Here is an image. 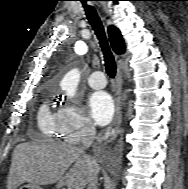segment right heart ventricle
<instances>
[{
    "label": "right heart ventricle",
    "instance_id": "1",
    "mask_svg": "<svg viewBox=\"0 0 188 189\" xmlns=\"http://www.w3.org/2000/svg\"><path fill=\"white\" fill-rule=\"evenodd\" d=\"M37 123L40 132L45 138L55 139L62 136L57 113L51 110L47 100L39 108Z\"/></svg>",
    "mask_w": 188,
    "mask_h": 189
}]
</instances>
